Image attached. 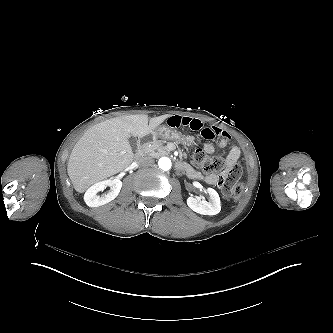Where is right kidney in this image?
<instances>
[{
    "label": "right kidney",
    "instance_id": "1",
    "mask_svg": "<svg viewBox=\"0 0 333 333\" xmlns=\"http://www.w3.org/2000/svg\"><path fill=\"white\" fill-rule=\"evenodd\" d=\"M107 187L111 189L99 196V192H103ZM122 188V182L119 179H108L92 186L85 194V202L89 207L103 206L113 201Z\"/></svg>",
    "mask_w": 333,
    "mask_h": 333
}]
</instances>
